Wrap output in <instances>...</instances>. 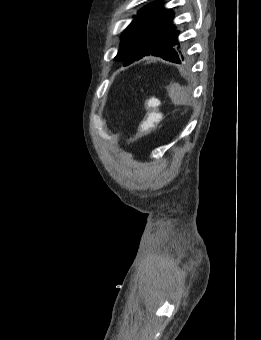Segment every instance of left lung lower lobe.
<instances>
[{
	"label": "left lung lower lobe",
	"mask_w": 261,
	"mask_h": 340,
	"mask_svg": "<svg viewBox=\"0 0 261 340\" xmlns=\"http://www.w3.org/2000/svg\"><path fill=\"white\" fill-rule=\"evenodd\" d=\"M161 14L166 18V19H172L173 18V12L171 10H165V9H162L161 11ZM147 55H153V56H160L162 57L163 59L165 60H168V61H171V62H174V63H178L180 64L184 59H182L178 54H176L175 52H173V50H170V49H165L161 52H153L151 54H147ZM147 55H144V56H147ZM142 58V57H141ZM139 58V59H141ZM137 59V60H139ZM133 62V61H132ZM132 62L130 63H127V64H124L125 66L126 65H129L131 64Z\"/></svg>",
	"instance_id": "0a47b994"
}]
</instances>
